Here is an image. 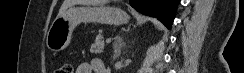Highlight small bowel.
<instances>
[{
  "instance_id": "1",
  "label": "small bowel",
  "mask_w": 244,
  "mask_h": 73,
  "mask_svg": "<svg viewBox=\"0 0 244 73\" xmlns=\"http://www.w3.org/2000/svg\"><path fill=\"white\" fill-rule=\"evenodd\" d=\"M76 73H109L100 59H92L89 62H82L77 67Z\"/></svg>"
}]
</instances>
